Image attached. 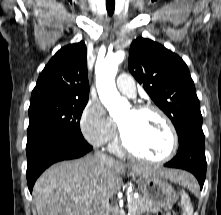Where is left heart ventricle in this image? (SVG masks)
<instances>
[{
    "instance_id": "1",
    "label": "left heart ventricle",
    "mask_w": 221,
    "mask_h": 215,
    "mask_svg": "<svg viewBox=\"0 0 221 215\" xmlns=\"http://www.w3.org/2000/svg\"><path fill=\"white\" fill-rule=\"evenodd\" d=\"M119 125L130 147L141 155L161 158L170 150V134L153 112L138 113L132 109L119 120Z\"/></svg>"
}]
</instances>
